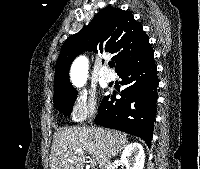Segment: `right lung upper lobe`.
<instances>
[{
    "mask_svg": "<svg viewBox=\"0 0 200 169\" xmlns=\"http://www.w3.org/2000/svg\"><path fill=\"white\" fill-rule=\"evenodd\" d=\"M97 49L114 55L117 73L128 64L153 54L148 36L133 15L119 8L106 7L91 23L64 42L56 63L54 96L76 91L69 81L70 65L85 50L97 52Z\"/></svg>",
    "mask_w": 200,
    "mask_h": 169,
    "instance_id": "obj_1",
    "label": "right lung upper lobe"
}]
</instances>
